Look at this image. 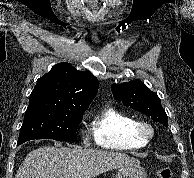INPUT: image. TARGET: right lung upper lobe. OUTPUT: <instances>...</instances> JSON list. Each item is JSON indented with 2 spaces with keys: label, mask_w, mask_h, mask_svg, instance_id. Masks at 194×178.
I'll return each instance as SVG.
<instances>
[{
  "label": "right lung upper lobe",
  "mask_w": 194,
  "mask_h": 178,
  "mask_svg": "<svg viewBox=\"0 0 194 178\" xmlns=\"http://www.w3.org/2000/svg\"><path fill=\"white\" fill-rule=\"evenodd\" d=\"M98 86V80L90 71H78L69 63H59L37 80L29 101H50L85 111L97 94Z\"/></svg>",
  "instance_id": "cb5924a9"
}]
</instances>
